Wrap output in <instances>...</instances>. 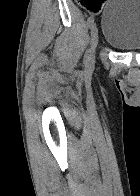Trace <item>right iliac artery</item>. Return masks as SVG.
<instances>
[{
	"label": "right iliac artery",
	"mask_w": 140,
	"mask_h": 196,
	"mask_svg": "<svg viewBox=\"0 0 140 196\" xmlns=\"http://www.w3.org/2000/svg\"><path fill=\"white\" fill-rule=\"evenodd\" d=\"M93 21H94V20H93L92 17L88 18V27H89V28L92 26Z\"/></svg>",
	"instance_id": "1"
}]
</instances>
